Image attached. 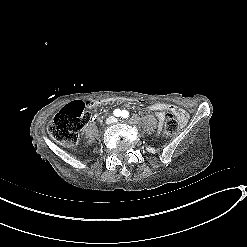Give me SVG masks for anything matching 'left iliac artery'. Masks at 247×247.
<instances>
[{
	"instance_id": "1",
	"label": "left iliac artery",
	"mask_w": 247,
	"mask_h": 247,
	"mask_svg": "<svg viewBox=\"0 0 247 247\" xmlns=\"http://www.w3.org/2000/svg\"><path fill=\"white\" fill-rule=\"evenodd\" d=\"M121 117H122V118H128V117H129L128 111L123 110V111L121 112Z\"/></svg>"
}]
</instances>
